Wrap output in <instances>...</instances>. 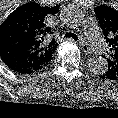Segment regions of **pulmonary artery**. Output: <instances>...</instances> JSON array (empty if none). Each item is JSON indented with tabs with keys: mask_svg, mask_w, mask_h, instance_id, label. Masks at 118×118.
I'll list each match as a JSON object with an SVG mask.
<instances>
[{
	"mask_svg": "<svg viewBox=\"0 0 118 118\" xmlns=\"http://www.w3.org/2000/svg\"><path fill=\"white\" fill-rule=\"evenodd\" d=\"M84 35L86 43L98 54L105 52L103 39L98 31L94 18H88L84 24Z\"/></svg>",
	"mask_w": 118,
	"mask_h": 118,
	"instance_id": "pulmonary-artery-1",
	"label": "pulmonary artery"
}]
</instances>
